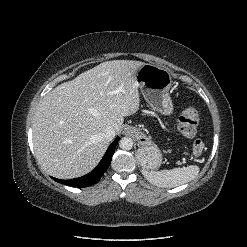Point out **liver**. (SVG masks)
<instances>
[{"label": "liver", "mask_w": 247, "mask_h": 247, "mask_svg": "<svg viewBox=\"0 0 247 247\" xmlns=\"http://www.w3.org/2000/svg\"><path fill=\"white\" fill-rule=\"evenodd\" d=\"M141 61L103 62L58 85L40 101L33 119V145L38 163L48 174L71 179L90 172L109 141L107 127L120 133L124 117L140 105L136 72Z\"/></svg>", "instance_id": "1"}]
</instances>
